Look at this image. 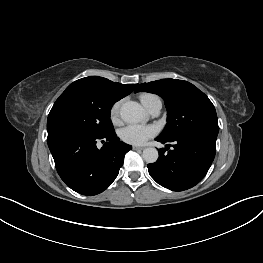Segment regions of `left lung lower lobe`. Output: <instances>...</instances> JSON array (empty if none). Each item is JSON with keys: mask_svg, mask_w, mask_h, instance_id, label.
Masks as SVG:
<instances>
[{"mask_svg": "<svg viewBox=\"0 0 263 263\" xmlns=\"http://www.w3.org/2000/svg\"><path fill=\"white\" fill-rule=\"evenodd\" d=\"M162 144L173 142V149H159V158L148 164L150 176L172 191H183L198 184L207 174L216 150V137L191 134L171 140L156 138Z\"/></svg>", "mask_w": 263, "mask_h": 263, "instance_id": "0a47b994", "label": "left lung lower lobe"}]
</instances>
